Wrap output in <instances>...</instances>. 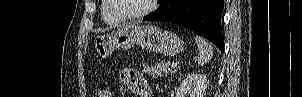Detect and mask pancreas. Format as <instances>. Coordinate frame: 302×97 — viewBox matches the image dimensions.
Segmentation results:
<instances>
[{
	"label": "pancreas",
	"instance_id": "obj_1",
	"mask_svg": "<svg viewBox=\"0 0 302 97\" xmlns=\"http://www.w3.org/2000/svg\"><path fill=\"white\" fill-rule=\"evenodd\" d=\"M142 71L152 77L163 76V74L169 75L175 72V70L171 68L170 61H161L150 66L146 65Z\"/></svg>",
	"mask_w": 302,
	"mask_h": 97
}]
</instances>
